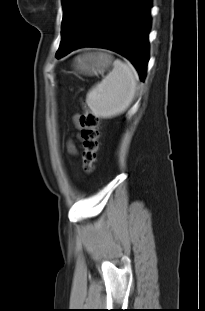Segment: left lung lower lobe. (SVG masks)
Listing matches in <instances>:
<instances>
[{
    "label": "left lung lower lobe",
    "instance_id": "1",
    "mask_svg": "<svg viewBox=\"0 0 205 311\" xmlns=\"http://www.w3.org/2000/svg\"><path fill=\"white\" fill-rule=\"evenodd\" d=\"M151 0H116L101 22L78 44L56 55L63 57L81 47H100L127 57L143 81L148 62Z\"/></svg>",
    "mask_w": 205,
    "mask_h": 311
}]
</instances>
